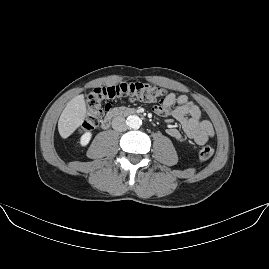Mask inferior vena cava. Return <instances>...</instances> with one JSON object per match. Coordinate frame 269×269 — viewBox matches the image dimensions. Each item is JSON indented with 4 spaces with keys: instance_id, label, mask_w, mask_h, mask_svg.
Returning <instances> with one entry per match:
<instances>
[{
    "instance_id": "inferior-vena-cava-1",
    "label": "inferior vena cava",
    "mask_w": 269,
    "mask_h": 269,
    "mask_svg": "<svg viewBox=\"0 0 269 269\" xmlns=\"http://www.w3.org/2000/svg\"><path fill=\"white\" fill-rule=\"evenodd\" d=\"M112 128L116 131H125L128 128L127 121L124 117L117 116L111 122Z\"/></svg>"
}]
</instances>
